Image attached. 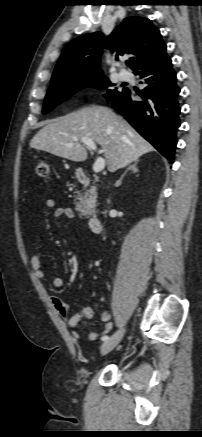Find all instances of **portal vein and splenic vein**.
Listing matches in <instances>:
<instances>
[{"instance_id":"obj_1","label":"portal vein and splenic vein","mask_w":202,"mask_h":437,"mask_svg":"<svg viewBox=\"0 0 202 437\" xmlns=\"http://www.w3.org/2000/svg\"><path fill=\"white\" fill-rule=\"evenodd\" d=\"M81 141L91 150H93V151L97 150L96 144L93 140L86 138V137H83L81 139ZM69 146H72V144ZM104 168H105V160L101 157H98L93 165V171L98 173V172H101Z\"/></svg>"}]
</instances>
